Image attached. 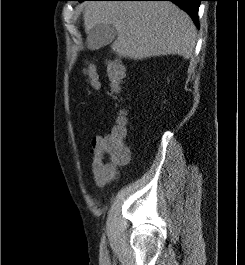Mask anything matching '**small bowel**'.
Segmentation results:
<instances>
[{"label":"small bowel","mask_w":245,"mask_h":265,"mask_svg":"<svg viewBox=\"0 0 245 265\" xmlns=\"http://www.w3.org/2000/svg\"><path fill=\"white\" fill-rule=\"evenodd\" d=\"M103 140H104V137H102V136H96L93 138L92 148H91L92 154H94V152L97 150V148L103 143ZM92 171H93L94 180H95L96 184L100 187L106 185L111 180V177H109L105 173L97 170L93 166V164H92Z\"/></svg>","instance_id":"small-bowel-1"}]
</instances>
